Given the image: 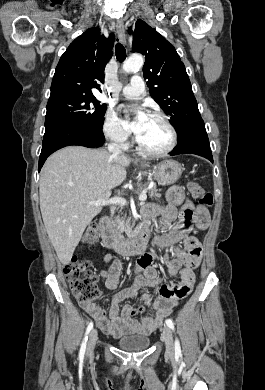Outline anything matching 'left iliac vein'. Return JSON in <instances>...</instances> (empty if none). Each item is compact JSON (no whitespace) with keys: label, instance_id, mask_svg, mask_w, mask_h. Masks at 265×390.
Returning <instances> with one entry per match:
<instances>
[{"label":"left iliac vein","instance_id":"obj_1","mask_svg":"<svg viewBox=\"0 0 265 390\" xmlns=\"http://www.w3.org/2000/svg\"><path fill=\"white\" fill-rule=\"evenodd\" d=\"M162 338L166 345V353L169 356L174 355V341L171 329L168 326H164L162 330Z\"/></svg>","mask_w":265,"mask_h":390}]
</instances>
